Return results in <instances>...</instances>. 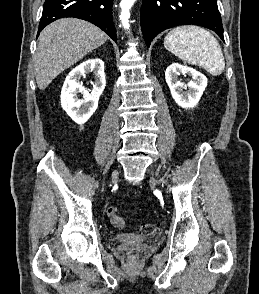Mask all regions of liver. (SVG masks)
Segmentation results:
<instances>
[{
	"mask_svg": "<svg viewBox=\"0 0 259 294\" xmlns=\"http://www.w3.org/2000/svg\"><path fill=\"white\" fill-rule=\"evenodd\" d=\"M108 36L95 25L80 19L63 18L40 33L35 55L38 88L44 90L62 71L103 45Z\"/></svg>",
	"mask_w": 259,
	"mask_h": 294,
	"instance_id": "6515ba94",
	"label": "liver"
}]
</instances>
